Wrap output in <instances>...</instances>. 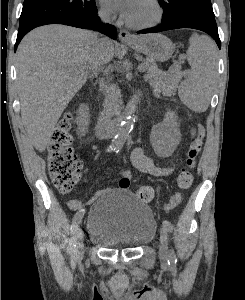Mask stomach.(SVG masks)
Wrapping results in <instances>:
<instances>
[{"label": "stomach", "mask_w": 245, "mask_h": 300, "mask_svg": "<svg viewBox=\"0 0 245 300\" xmlns=\"http://www.w3.org/2000/svg\"><path fill=\"white\" fill-rule=\"evenodd\" d=\"M127 45L157 62L167 61L175 49L172 41L162 34L140 36L136 42L127 43Z\"/></svg>", "instance_id": "obj_1"}]
</instances>
